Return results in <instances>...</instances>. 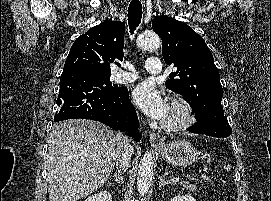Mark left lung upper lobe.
Wrapping results in <instances>:
<instances>
[{"instance_id":"obj_1","label":"left lung upper lobe","mask_w":271,"mask_h":201,"mask_svg":"<svg viewBox=\"0 0 271 201\" xmlns=\"http://www.w3.org/2000/svg\"><path fill=\"white\" fill-rule=\"evenodd\" d=\"M153 30L163 42L162 53L168 65H174L166 87L187 98L197 122L191 126L203 134L227 137L232 133L221 105L223 89L214 58L204 39L187 24L168 16H157Z\"/></svg>"}]
</instances>
